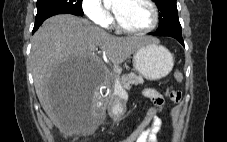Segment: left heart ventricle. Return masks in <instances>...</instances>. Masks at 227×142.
Segmentation results:
<instances>
[{"label": "left heart ventricle", "instance_id": "b2bd125f", "mask_svg": "<svg viewBox=\"0 0 227 142\" xmlns=\"http://www.w3.org/2000/svg\"><path fill=\"white\" fill-rule=\"evenodd\" d=\"M112 10L119 21L131 29H142L151 22V10L145 0H115Z\"/></svg>", "mask_w": 227, "mask_h": 142}]
</instances>
